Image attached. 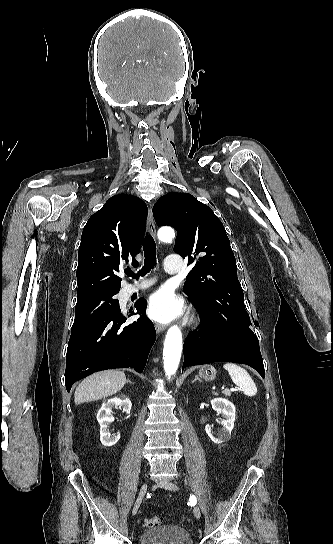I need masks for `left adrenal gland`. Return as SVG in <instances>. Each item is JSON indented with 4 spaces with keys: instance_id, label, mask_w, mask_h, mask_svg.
<instances>
[{
    "instance_id": "left-adrenal-gland-1",
    "label": "left adrenal gland",
    "mask_w": 333,
    "mask_h": 544,
    "mask_svg": "<svg viewBox=\"0 0 333 544\" xmlns=\"http://www.w3.org/2000/svg\"><path fill=\"white\" fill-rule=\"evenodd\" d=\"M197 380L200 381V379L198 378V376L195 377V379L192 381V383H194V382L197 381Z\"/></svg>"
}]
</instances>
